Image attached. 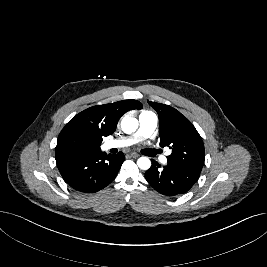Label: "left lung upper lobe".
<instances>
[{
    "instance_id": "left-lung-upper-lobe-1",
    "label": "left lung upper lobe",
    "mask_w": 267,
    "mask_h": 267,
    "mask_svg": "<svg viewBox=\"0 0 267 267\" xmlns=\"http://www.w3.org/2000/svg\"><path fill=\"white\" fill-rule=\"evenodd\" d=\"M148 103L159 116L160 146L172 149L167 162L201 172L205 160L204 144L192 123L169 105Z\"/></svg>"
}]
</instances>
